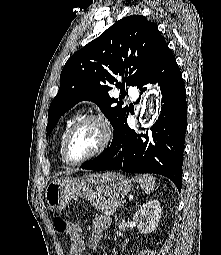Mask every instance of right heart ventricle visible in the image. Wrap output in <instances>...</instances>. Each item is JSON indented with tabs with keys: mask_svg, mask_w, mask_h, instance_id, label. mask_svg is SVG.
Listing matches in <instances>:
<instances>
[{
	"mask_svg": "<svg viewBox=\"0 0 221 255\" xmlns=\"http://www.w3.org/2000/svg\"><path fill=\"white\" fill-rule=\"evenodd\" d=\"M78 120V115L77 114H73L71 115L69 118L66 119V121L64 122L62 129L60 131V135H59V140H58V148H59V154H60V158L63 164L68 165L62 156V145H63V141L64 138L68 132V130L72 127V125Z\"/></svg>",
	"mask_w": 221,
	"mask_h": 255,
	"instance_id": "right-heart-ventricle-1",
	"label": "right heart ventricle"
}]
</instances>
